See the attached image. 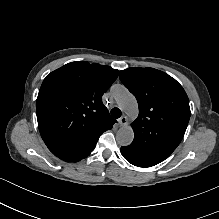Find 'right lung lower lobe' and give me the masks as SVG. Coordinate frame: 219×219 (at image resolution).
I'll return each instance as SVG.
<instances>
[{"instance_id": "98d812e1", "label": "right lung lower lobe", "mask_w": 219, "mask_h": 219, "mask_svg": "<svg viewBox=\"0 0 219 219\" xmlns=\"http://www.w3.org/2000/svg\"><path fill=\"white\" fill-rule=\"evenodd\" d=\"M93 151V150H92ZM92 151L82 154V155H77V156H64V157H59L60 159L67 161V162H77L80 161L81 159L87 157Z\"/></svg>"}]
</instances>
